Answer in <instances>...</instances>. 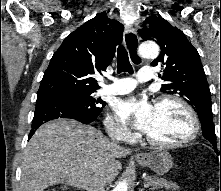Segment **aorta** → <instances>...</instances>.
Here are the masks:
<instances>
[{
	"instance_id": "1",
	"label": "aorta",
	"mask_w": 221,
	"mask_h": 191,
	"mask_svg": "<svg viewBox=\"0 0 221 191\" xmlns=\"http://www.w3.org/2000/svg\"><path fill=\"white\" fill-rule=\"evenodd\" d=\"M139 53L143 58H155L159 54V47L155 42H144L139 47ZM113 191H128L127 181L119 182Z\"/></svg>"
}]
</instances>
